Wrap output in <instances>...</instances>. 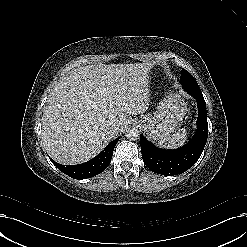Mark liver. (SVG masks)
Returning a JSON list of instances; mask_svg holds the SVG:
<instances>
[{
    "mask_svg": "<svg viewBox=\"0 0 247 247\" xmlns=\"http://www.w3.org/2000/svg\"><path fill=\"white\" fill-rule=\"evenodd\" d=\"M152 64L87 65L60 80L48 96L42 118L43 146L65 165L100 153L131 115L148 109ZM119 125L112 133L108 126Z\"/></svg>",
    "mask_w": 247,
    "mask_h": 247,
    "instance_id": "1",
    "label": "liver"
}]
</instances>
